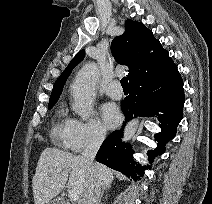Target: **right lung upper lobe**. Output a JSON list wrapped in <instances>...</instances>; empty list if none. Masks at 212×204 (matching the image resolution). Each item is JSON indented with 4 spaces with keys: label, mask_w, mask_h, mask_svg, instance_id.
<instances>
[{
    "label": "right lung upper lobe",
    "mask_w": 212,
    "mask_h": 204,
    "mask_svg": "<svg viewBox=\"0 0 212 204\" xmlns=\"http://www.w3.org/2000/svg\"><path fill=\"white\" fill-rule=\"evenodd\" d=\"M111 50L118 63L129 67L127 75L129 85L152 72L174 65L167 50L163 49L160 42L155 39L152 31L133 20L125 21V32L113 39ZM84 55V51H80L56 80L49 103L58 100L72 69L84 58Z\"/></svg>",
    "instance_id": "cb5924a9"
}]
</instances>
